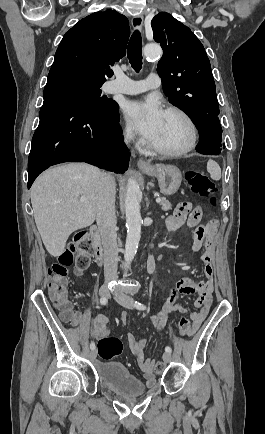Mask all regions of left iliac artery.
Listing matches in <instances>:
<instances>
[{
	"label": "left iliac artery",
	"mask_w": 265,
	"mask_h": 434,
	"mask_svg": "<svg viewBox=\"0 0 265 434\" xmlns=\"http://www.w3.org/2000/svg\"><path fill=\"white\" fill-rule=\"evenodd\" d=\"M134 306L139 310H145L146 309V306L144 304L138 302V301H135ZM165 351L171 353L172 349L170 346H166Z\"/></svg>",
	"instance_id": "obj_1"
}]
</instances>
